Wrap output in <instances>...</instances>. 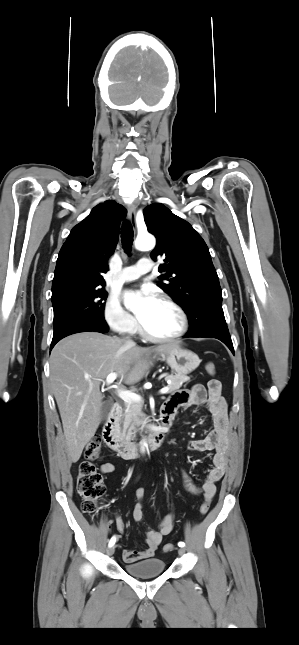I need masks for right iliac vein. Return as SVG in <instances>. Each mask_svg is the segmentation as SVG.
I'll return each mask as SVG.
<instances>
[{"label":"right iliac vein","instance_id":"obj_1","mask_svg":"<svg viewBox=\"0 0 299 645\" xmlns=\"http://www.w3.org/2000/svg\"><path fill=\"white\" fill-rule=\"evenodd\" d=\"M114 552H115V547H114V546H110V547L107 549V555H108V556H112V555L114 554Z\"/></svg>","mask_w":299,"mask_h":645}]
</instances>
